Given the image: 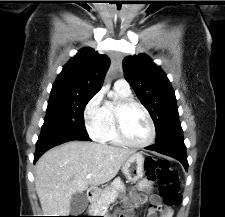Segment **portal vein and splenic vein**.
I'll return each mask as SVG.
<instances>
[{
    "label": "portal vein and splenic vein",
    "instance_id": "obj_1",
    "mask_svg": "<svg viewBox=\"0 0 225 217\" xmlns=\"http://www.w3.org/2000/svg\"><path fill=\"white\" fill-rule=\"evenodd\" d=\"M91 176H92V174H88V175L86 176V178L89 179V178H91Z\"/></svg>",
    "mask_w": 225,
    "mask_h": 217
}]
</instances>
